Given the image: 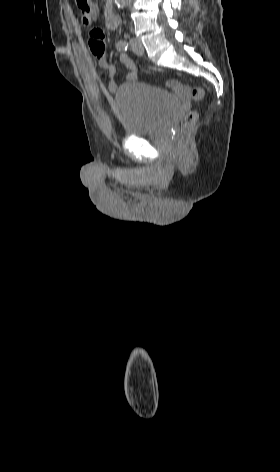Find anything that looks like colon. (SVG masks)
<instances>
[{"label": "colon", "instance_id": "colon-1", "mask_svg": "<svg viewBox=\"0 0 280 472\" xmlns=\"http://www.w3.org/2000/svg\"><path fill=\"white\" fill-rule=\"evenodd\" d=\"M78 9L80 11V16L83 24H91L97 15V9L94 3L91 0H76ZM191 96L196 101H201L205 96V90L201 86H194L190 90ZM198 118V115L195 111H190L186 114L184 119L181 122V135L186 137L190 132L191 128L194 126Z\"/></svg>", "mask_w": 280, "mask_h": 472}]
</instances>
